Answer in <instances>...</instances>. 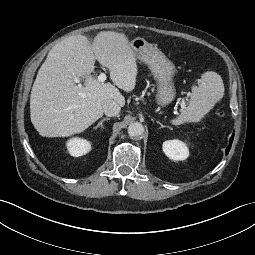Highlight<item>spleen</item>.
Wrapping results in <instances>:
<instances>
[{"mask_svg":"<svg viewBox=\"0 0 255 255\" xmlns=\"http://www.w3.org/2000/svg\"><path fill=\"white\" fill-rule=\"evenodd\" d=\"M223 95L224 84L221 76L213 71L204 73L201 83L192 88L188 106L181 110L180 116L172 121L173 124L199 122Z\"/></svg>","mask_w":255,"mask_h":255,"instance_id":"3e777b00","label":"spleen"}]
</instances>
